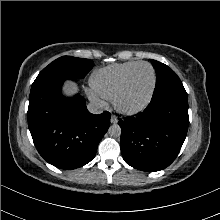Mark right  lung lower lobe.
Wrapping results in <instances>:
<instances>
[{"label": "right lung lower lobe", "mask_w": 220, "mask_h": 220, "mask_svg": "<svg viewBox=\"0 0 220 220\" xmlns=\"http://www.w3.org/2000/svg\"><path fill=\"white\" fill-rule=\"evenodd\" d=\"M64 76L50 77L32 84L28 125L35 147L50 164L75 169L90 162L110 126L111 114H91L85 99L61 94Z\"/></svg>", "instance_id": "98d812e1"}]
</instances>
